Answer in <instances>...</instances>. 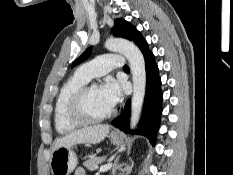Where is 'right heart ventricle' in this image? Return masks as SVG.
<instances>
[{
    "mask_svg": "<svg viewBox=\"0 0 233 175\" xmlns=\"http://www.w3.org/2000/svg\"><path fill=\"white\" fill-rule=\"evenodd\" d=\"M87 82L88 80L75 74L61 87L54 107V124L58 133H70L82 125L69 117L67 107L73 94Z\"/></svg>",
    "mask_w": 233,
    "mask_h": 175,
    "instance_id": "obj_1",
    "label": "right heart ventricle"
}]
</instances>
